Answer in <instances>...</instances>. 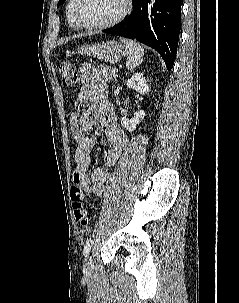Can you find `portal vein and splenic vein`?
Wrapping results in <instances>:
<instances>
[{"label": "portal vein and splenic vein", "instance_id": "obj_1", "mask_svg": "<svg viewBox=\"0 0 239 303\" xmlns=\"http://www.w3.org/2000/svg\"><path fill=\"white\" fill-rule=\"evenodd\" d=\"M117 71H118L117 68H113V69H112V72H114V73H116Z\"/></svg>", "mask_w": 239, "mask_h": 303}]
</instances>
